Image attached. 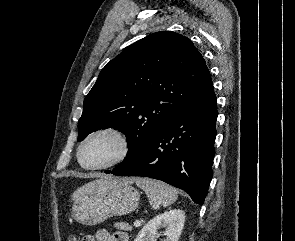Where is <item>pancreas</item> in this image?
<instances>
[{
  "label": "pancreas",
  "instance_id": "1",
  "mask_svg": "<svg viewBox=\"0 0 295 241\" xmlns=\"http://www.w3.org/2000/svg\"><path fill=\"white\" fill-rule=\"evenodd\" d=\"M114 227H116L119 230H125V231L132 230V227L128 223H125V222H116L114 224Z\"/></svg>",
  "mask_w": 295,
  "mask_h": 241
}]
</instances>
